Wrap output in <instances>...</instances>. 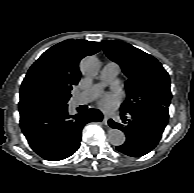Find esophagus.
Here are the masks:
<instances>
[{"mask_svg":"<svg viewBox=\"0 0 194 193\" xmlns=\"http://www.w3.org/2000/svg\"><path fill=\"white\" fill-rule=\"evenodd\" d=\"M108 120H109V117H108L106 114H104V116H103V123H104L105 125H107Z\"/></svg>","mask_w":194,"mask_h":193,"instance_id":"1","label":"esophagus"}]
</instances>
